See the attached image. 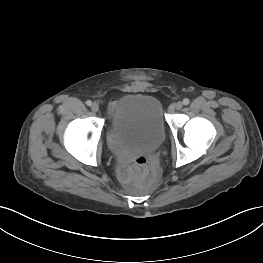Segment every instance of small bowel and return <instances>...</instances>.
<instances>
[{
  "label": "small bowel",
  "instance_id": "c3829d8e",
  "mask_svg": "<svg viewBox=\"0 0 263 263\" xmlns=\"http://www.w3.org/2000/svg\"><path fill=\"white\" fill-rule=\"evenodd\" d=\"M115 106V102L113 101L111 104H110V108H114ZM119 159H120V162H121V168H120V176L122 178L123 181L125 182H128L130 181L134 176H136L135 172L133 171L132 169V166L133 165H128V163L131 161V159L124 155V154H120L119 155Z\"/></svg>",
  "mask_w": 263,
  "mask_h": 263
}]
</instances>
